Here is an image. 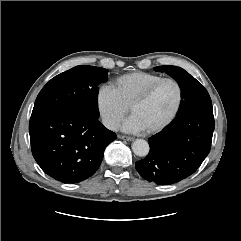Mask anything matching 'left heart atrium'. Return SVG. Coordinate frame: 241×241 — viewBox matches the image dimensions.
I'll return each instance as SVG.
<instances>
[{
  "instance_id": "obj_1",
  "label": "left heart atrium",
  "mask_w": 241,
  "mask_h": 241,
  "mask_svg": "<svg viewBox=\"0 0 241 241\" xmlns=\"http://www.w3.org/2000/svg\"><path fill=\"white\" fill-rule=\"evenodd\" d=\"M122 129L126 132H142L146 129L144 124L136 117L135 115H131L128 119L124 121L122 124Z\"/></svg>"
}]
</instances>
